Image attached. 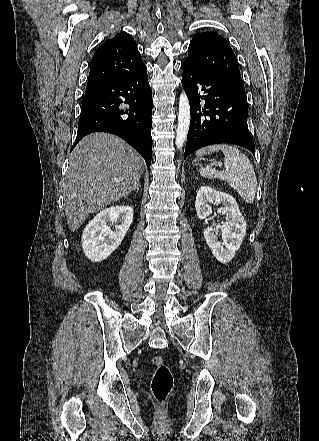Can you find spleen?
<instances>
[{"label": "spleen", "instance_id": "1", "mask_svg": "<svg viewBox=\"0 0 319 441\" xmlns=\"http://www.w3.org/2000/svg\"><path fill=\"white\" fill-rule=\"evenodd\" d=\"M221 150L224 154L225 170L218 171L213 168L199 169L200 174L208 179H221L226 181L247 203H252L256 195L257 179L253 165L248 157L238 148L222 144L211 145L196 152L197 156Z\"/></svg>", "mask_w": 319, "mask_h": 441}]
</instances>
